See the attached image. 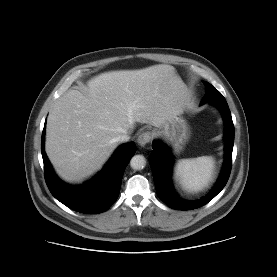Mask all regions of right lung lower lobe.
I'll return each instance as SVG.
<instances>
[{"instance_id": "right-lung-lower-lobe-1", "label": "right lung lower lobe", "mask_w": 277, "mask_h": 277, "mask_svg": "<svg viewBox=\"0 0 277 277\" xmlns=\"http://www.w3.org/2000/svg\"><path fill=\"white\" fill-rule=\"evenodd\" d=\"M45 125L41 139L46 184L52 195L67 207L86 214L106 211L118 198L124 171L136 152L134 142L120 146L105 167L89 182L71 186L54 173L44 151Z\"/></svg>"}]
</instances>
